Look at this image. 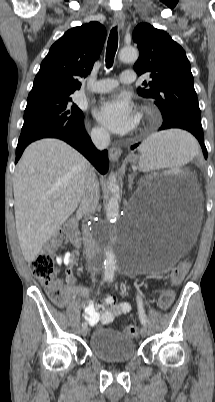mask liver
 I'll use <instances>...</instances> for the list:
<instances>
[{
    "instance_id": "liver-1",
    "label": "liver",
    "mask_w": 215,
    "mask_h": 402,
    "mask_svg": "<svg viewBox=\"0 0 215 402\" xmlns=\"http://www.w3.org/2000/svg\"><path fill=\"white\" fill-rule=\"evenodd\" d=\"M92 169L85 157L58 139L38 140L25 149L13 190L17 236L28 263L76 210Z\"/></svg>"
}]
</instances>
